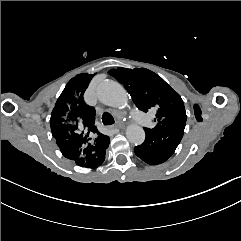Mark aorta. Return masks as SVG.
Here are the masks:
<instances>
[{"label":"aorta","instance_id":"obj_1","mask_svg":"<svg viewBox=\"0 0 241 241\" xmlns=\"http://www.w3.org/2000/svg\"><path fill=\"white\" fill-rule=\"evenodd\" d=\"M96 91L100 101L108 106L121 108L127 104L126 90L116 81H103ZM126 137L132 144L140 145L145 140V132L141 126L130 124L126 129Z\"/></svg>","mask_w":241,"mask_h":241}]
</instances>
